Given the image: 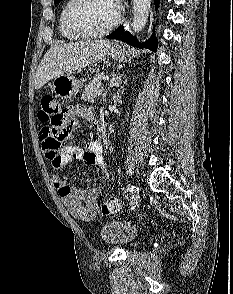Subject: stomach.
I'll return each instance as SVG.
<instances>
[{
  "instance_id": "1",
  "label": "stomach",
  "mask_w": 233,
  "mask_h": 294,
  "mask_svg": "<svg viewBox=\"0 0 233 294\" xmlns=\"http://www.w3.org/2000/svg\"><path fill=\"white\" fill-rule=\"evenodd\" d=\"M108 56L116 61L126 62L132 58V52L121 44H115L108 52ZM51 87L59 98L70 99L78 93L80 84L74 72H68L55 77L51 83Z\"/></svg>"
}]
</instances>
